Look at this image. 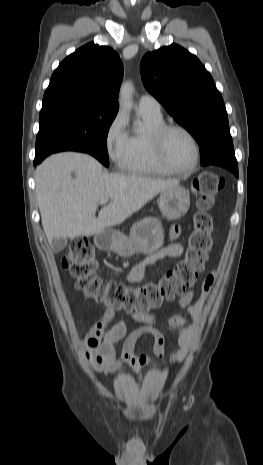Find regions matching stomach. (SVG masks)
Returning <instances> with one entry per match:
<instances>
[{"label": "stomach", "instance_id": "1", "mask_svg": "<svg viewBox=\"0 0 263 465\" xmlns=\"http://www.w3.org/2000/svg\"><path fill=\"white\" fill-rule=\"evenodd\" d=\"M158 205L167 220H177L187 213L190 195L186 189L177 185L161 192ZM163 232L158 219L146 217L132 226L129 236L117 231H103L96 234L94 241L98 248L114 251L126 258L137 253L155 252L163 244Z\"/></svg>", "mask_w": 263, "mask_h": 465}]
</instances>
